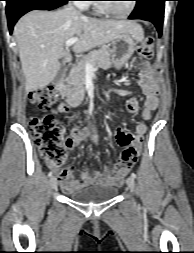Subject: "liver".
Here are the masks:
<instances>
[{"mask_svg":"<svg viewBox=\"0 0 194 253\" xmlns=\"http://www.w3.org/2000/svg\"><path fill=\"white\" fill-rule=\"evenodd\" d=\"M125 32L136 38L143 36L142 27L134 21L92 19L69 8L27 13L14 27L26 93L44 88L54 80L60 58L72 60L68 47L64 48L68 39H79L73 50L81 53Z\"/></svg>","mask_w":194,"mask_h":253,"instance_id":"6515ba94","label":"liver"}]
</instances>
